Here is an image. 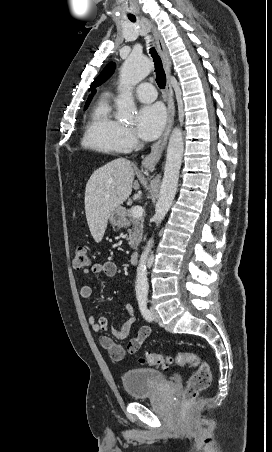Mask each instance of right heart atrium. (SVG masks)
Returning a JSON list of instances; mask_svg holds the SVG:
<instances>
[{"label": "right heart atrium", "mask_w": 272, "mask_h": 452, "mask_svg": "<svg viewBox=\"0 0 272 452\" xmlns=\"http://www.w3.org/2000/svg\"><path fill=\"white\" fill-rule=\"evenodd\" d=\"M120 137L124 151H129L138 144L137 136L130 127H122Z\"/></svg>", "instance_id": "1"}]
</instances>
